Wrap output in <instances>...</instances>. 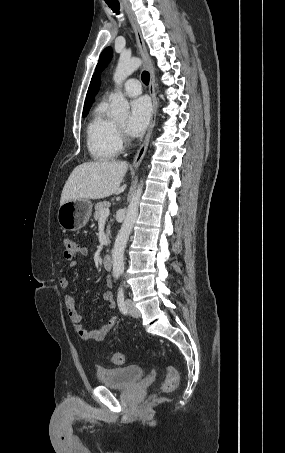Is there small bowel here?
<instances>
[{"instance_id": "c3829d8e", "label": "small bowel", "mask_w": 285, "mask_h": 453, "mask_svg": "<svg viewBox=\"0 0 285 453\" xmlns=\"http://www.w3.org/2000/svg\"><path fill=\"white\" fill-rule=\"evenodd\" d=\"M88 252L89 251L86 247H81L79 254L86 256V255H88ZM76 265H77V263L75 261H71L69 263L70 268H75ZM106 284H107L108 288L111 287L112 281H111L110 277L106 278ZM59 286L63 290L69 289L70 280L66 277L61 278L59 280ZM102 296H103V299L105 301H107L109 308L114 309L116 304L113 299L111 291L110 290L105 291ZM64 303H65V307H66L68 316L74 325L75 331L77 332L79 337L82 338L83 340H93V341H97V342L103 341L105 339V337L107 336V334L112 330V328L116 325V323L119 320L118 315H112L109 318V320L105 324H103L100 328L95 329V330H90V329L85 328L84 325L82 324L83 315L80 312H78L73 297H71L69 295L65 296Z\"/></svg>"}]
</instances>
